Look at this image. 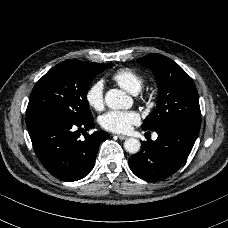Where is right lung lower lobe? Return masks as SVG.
<instances>
[{
  "mask_svg": "<svg viewBox=\"0 0 228 228\" xmlns=\"http://www.w3.org/2000/svg\"><path fill=\"white\" fill-rule=\"evenodd\" d=\"M34 151L42 165L56 178L76 181L94 167L100 143L109 137L105 131L85 135L94 127L93 118L76 121L56 114L26 119ZM78 128V129H77Z\"/></svg>",
  "mask_w": 228,
  "mask_h": 228,
  "instance_id": "obj_1",
  "label": "right lung lower lobe"
}]
</instances>
